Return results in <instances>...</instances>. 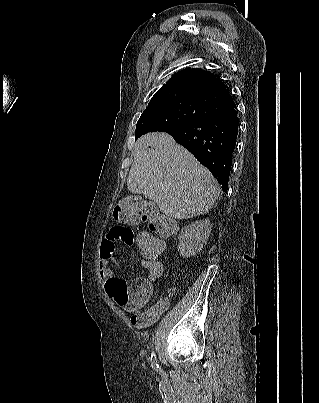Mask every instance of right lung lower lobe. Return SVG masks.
<instances>
[{
	"label": "right lung lower lobe",
	"mask_w": 319,
	"mask_h": 403,
	"mask_svg": "<svg viewBox=\"0 0 319 403\" xmlns=\"http://www.w3.org/2000/svg\"><path fill=\"white\" fill-rule=\"evenodd\" d=\"M238 125L237 111L233 108L210 113L191 123L169 126L159 131L167 132L177 143L188 149L210 170L226 192Z\"/></svg>",
	"instance_id": "1"
}]
</instances>
